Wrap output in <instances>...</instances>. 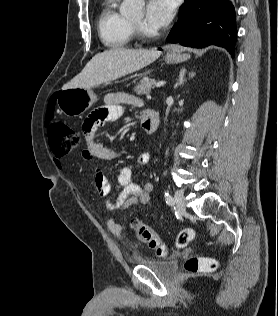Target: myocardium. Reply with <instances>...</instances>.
<instances>
[{
    "label": "myocardium",
    "mask_w": 278,
    "mask_h": 316,
    "mask_svg": "<svg viewBox=\"0 0 278 316\" xmlns=\"http://www.w3.org/2000/svg\"><path fill=\"white\" fill-rule=\"evenodd\" d=\"M132 25L137 36L142 40H151L157 36L155 32L148 30L142 23L133 21Z\"/></svg>",
    "instance_id": "f54148a6"
}]
</instances>
